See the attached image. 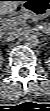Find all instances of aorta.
<instances>
[{
    "mask_svg": "<svg viewBox=\"0 0 50 111\" xmlns=\"http://www.w3.org/2000/svg\"><path fill=\"white\" fill-rule=\"evenodd\" d=\"M27 46L36 47L39 44V38L34 34H29L25 37Z\"/></svg>",
    "mask_w": 50,
    "mask_h": 111,
    "instance_id": "762f6f07",
    "label": "aorta"
}]
</instances>
